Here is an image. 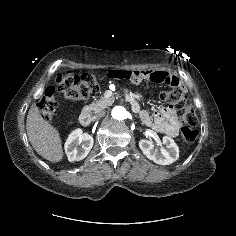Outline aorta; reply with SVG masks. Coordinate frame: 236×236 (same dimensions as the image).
Instances as JSON below:
<instances>
[{
    "label": "aorta",
    "instance_id": "aorta-1",
    "mask_svg": "<svg viewBox=\"0 0 236 236\" xmlns=\"http://www.w3.org/2000/svg\"><path fill=\"white\" fill-rule=\"evenodd\" d=\"M111 116L115 120H124L127 116V110L124 106L117 105L112 109Z\"/></svg>",
    "mask_w": 236,
    "mask_h": 236
}]
</instances>
